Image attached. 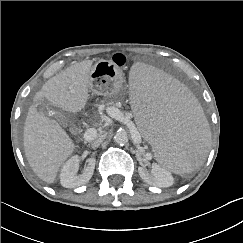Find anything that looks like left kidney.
I'll use <instances>...</instances> for the list:
<instances>
[{"label": "left kidney", "mask_w": 243, "mask_h": 243, "mask_svg": "<svg viewBox=\"0 0 243 243\" xmlns=\"http://www.w3.org/2000/svg\"><path fill=\"white\" fill-rule=\"evenodd\" d=\"M138 172L146 183L153 186L169 187L174 182L172 174L158 164H153L150 172L143 167H139Z\"/></svg>", "instance_id": "1"}]
</instances>
